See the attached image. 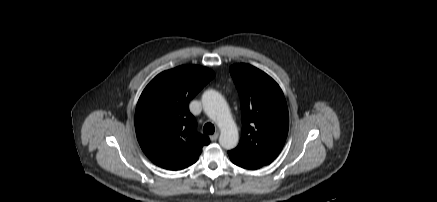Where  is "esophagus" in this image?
Returning a JSON list of instances; mask_svg holds the SVG:
<instances>
[{
	"mask_svg": "<svg viewBox=\"0 0 437 202\" xmlns=\"http://www.w3.org/2000/svg\"><path fill=\"white\" fill-rule=\"evenodd\" d=\"M218 137H219V134H218V133H215V134H213V135H210V140H211V141H216V140L218 139Z\"/></svg>",
	"mask_w": 437,
	"mask_h": 202,
	"instance_id": "1",
	"label": "esophagus"
}]
</instances>
